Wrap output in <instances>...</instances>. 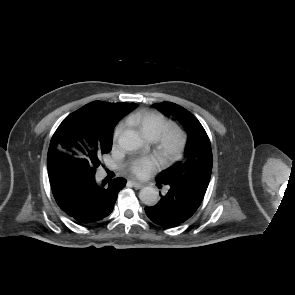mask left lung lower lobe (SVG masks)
I'll list each match as a JSON object with an SVG mask.
<instances>
[{
	"mask_svg": "<svg viewBox=\"0 0 295 295\" xmlns=\"http://www.w3.org/2000/svg\"><path fill=\"white\" fill-rule=\"evenodd\" d=\"M158 187H161L157 181ZM168 192L161 195L160 201L152 206L146 207V215L154 223L164 227H173L189 219L200 206L205 192L188 188L176 183H168Z\"/></svg>",
	"mask_w": 295,
	"mask_h": 295,
	"instance_id": "left-lung-lower-lobe-1",
	"label": "left lung lower lobe"
}]
</instances>
